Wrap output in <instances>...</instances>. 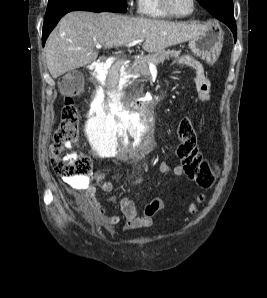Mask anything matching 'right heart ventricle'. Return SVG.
I'll return each mask as SVG.
<instances>
[{"label":"right heart ventricle","mask_w":267,"mask_h":298,"mask_svg":"<svg viewBox=\"0 0 267 298\" xmlns=\"http://www.w3.org/2000/svg\"><path fill=\"white\" fill-rule=\"evenodd\" d=\"M138 13L143 18L170 19L172 16L162 10L159 0H138Z\"/></svg>","instance_id":"e07e8e85"}]
</instances>
